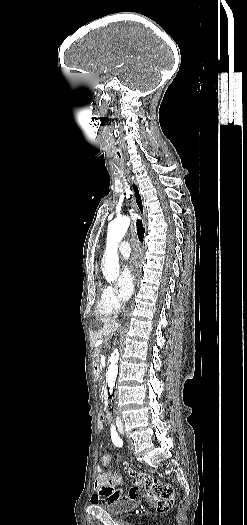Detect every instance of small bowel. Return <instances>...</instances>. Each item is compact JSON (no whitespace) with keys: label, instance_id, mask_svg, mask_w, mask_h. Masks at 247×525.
<instances>
[{"label":"small bowel","instance_id":"c3829d8e","mask_svg":"<svg viewBox=\"0 0 247 525\" xmlns=\"http://www.w3.org/2000/svg\"><path fill=\"white\" fill-rule=\"evenodd\" d=\"M111 459V454L105 453L99 461L98 472L95 478L97 492L92 497V503L94 506H118L120 499L122 498L119 491L112 486L113 484H119L122 481V478L118 474L106 470ZM125 473L127 475L133 474L131 479L134 482L133 485H131L128 494L132 497L134 503H139L141 501V496L139 494L144 492L146 486L148 490H145V495L154 493L156 496L155 500L157 504L154 507L155 512L158 514L163 512L169 514L172 512L173 502L171 496L173 494V487L170 481L164 479L148 480L149 476L147 474H144L143 476L139 474L140 470L138 468H127Z\"/></svg>","mask_w":247,"mask_h":525}]
</instances>
